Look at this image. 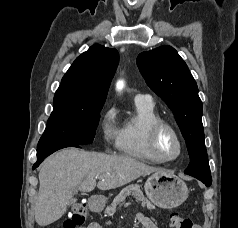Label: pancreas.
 Returning <instances> with one entry per match:
<instances>
[{"instance_id":"1","label":"pancreas","mask_w":238,"mask_h":228,"mask_svg":"<svg viewBox=\"0 0 238 228\" xmlns=\"http://www.w3.org/2000/svg\"><path fill=\"white\" fill-rule=\"evenodd\" d=\"M128 195H133L143 207L147 209H154L155 206L144 196L138 184H131L121 190V192L114 198L113 202L109 207L106 208L105 212L109 216H113L118 206H121Z\"/></svg>"}]
</instances>
